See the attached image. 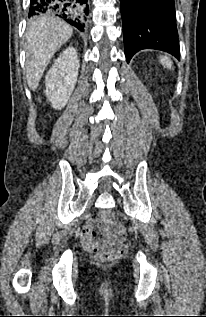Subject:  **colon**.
I'll return each mask as SVG.
<instances>
[{
  "instance_id": "1",
  "label": "colon",
  "mask_w": 206,
  "mask_h": 317,
  "mask_svg": "<svg viewBox=\"0 0 206 317\" xmlns=\"http://www.w3.org/2000/svg\"><path fill=\"white\" fill-rule=\"evenodd\" d=\"M97 217L109 222L112 221L113 214L110 211H103ZM86 247L101 262L112 261L127 252L125 244L113 243L109 238H100L95 235L88 241Z\"/></svg>"
}]
</instances>
